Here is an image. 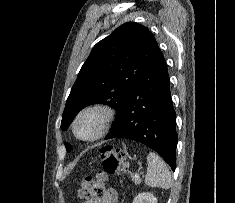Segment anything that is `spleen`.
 <instances>
[{"instance_id":"3e777b00","label":"spleen","mask_w":235,"mask_h":203,"mask_svg":"<svg viewBox=\"0 0 235 203\" xmlns=\"http://www.w3.org/2000/svg\"><path fill=\"white\" fill-rule=\"evenodd\" d=\"M147 175L145 184L150 187H171V174L165 162L155 153L150 152L147 156Z\"/></svg>"}]
</instances>
